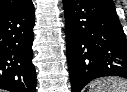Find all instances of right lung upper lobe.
Returning <instances> with one entry per match:
<instances>
[{
    "label": "right lung upper lobe",
    "instance_id": "cb5924a9",
    "mask_svg": "<svg viewBox=\"0 0 127 92\" xmlns=\"http://www.w3.org/2000/svg\"><path fill=\"white\" fill-rule=\"evenodd\" d=\"M31 4V0H0V13L26 8Z\"/></svg>",
    "mask_w": 127,
    "mask_h": 92
}]
</instances>
